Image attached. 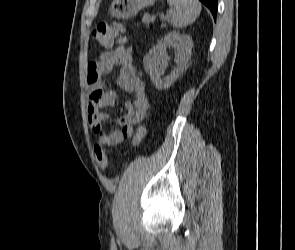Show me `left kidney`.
I'll return each instance as SVG.
<instances>
[{"label": "left kidney", "mask_w": 295, "mask_h": 250, "mask_svg": "<svg viewBox=\"0 0 295 250\" xmlns=\"http://www.w3.org/2000/svg\"><path fill=\"white\" fill-rule=\"evenodd\" d=\"M174 47L177 67L168 77L162 79L167 64V47ZM193 47L189 35H181L176 31L168 33L161 41L146 54L143 60L144 68L149 73L151 81L158 90L169 88L180 76L184 66L191 57Z\"/></svg>", "instance_id": "obj_1"}]
</instances>
